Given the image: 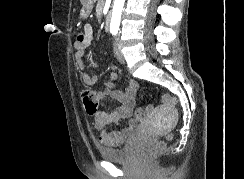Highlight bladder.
<instances>
[{"label":"bladder","mask_w":244,"mask_h":179,"mask_svg":"<svg viewBox=\"0 0 244 179\" xmlns=\"http://www.w3.org/2000/svg\"><path fill=\"white\" fill-rule=\"evenodd\" d=\"M131 153L129 142L126 146L115 149L99 148V156L107 161L124 160L127 159Z\"/></svg>","instance_id":"obj_1"}]
</instances>
